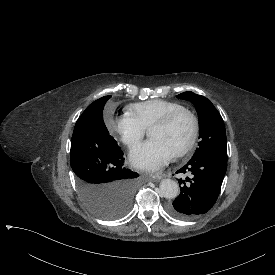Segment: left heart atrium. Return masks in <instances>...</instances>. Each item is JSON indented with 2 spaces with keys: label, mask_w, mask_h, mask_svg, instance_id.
Segmentation results:
<instances>
[{
  "label": "left heart atrium",
  "mask_w": 275,
  "mask_h": 275,
  "mask_svg": "<svg viewBox=\"0 0 275 275\" xmlns=\"http://www.w3.org/2000/svg\"><path fill=\"white\" fill-rule=\"evenodd\" d=\"M174 152L162 141L151 139L131 155V163L141 169L155 170L167 165Z\"/></svg>",
  "instance_id": "left-heart-atrium-1"
}]
</instances>
